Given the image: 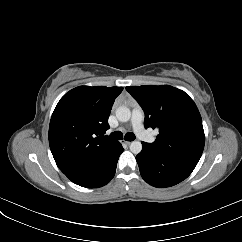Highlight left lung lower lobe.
Wrapping results in <instances>:
<instances>
[{
    "instance_id": "1",
    "label": "left lung lower lobe",
    "mask_w": 242,
    "mask_h": 242,
    "mask_svg": "<svg viewBox=\"0 0 242 242\" xmlns=\"http://www.w3.org/2000/svg\"><path fill=\"white\" fill-rule=\"evenodd\" d=\"M143 149L136 156L142 178L158 188L170 187L186 179L198 162L163 154L142 142Z\"/></svg>"
}]
</instances>
